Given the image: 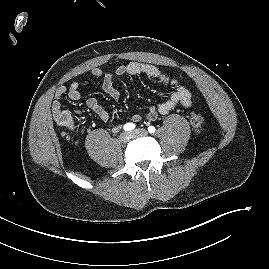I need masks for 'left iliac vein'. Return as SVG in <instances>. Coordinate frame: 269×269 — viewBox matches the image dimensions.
<instances>
[{"label": "left iliac vein", "mask_w": 269, "mask_h": 269, "mask_svg": "<svg viewBox=\"0 0 269 269\" xmlns=\"http://www.w3.org/2000/svg\"><path fill=\"white\" fill-rule=\"evenodd\" d=\"M130 134L132 137L137 138V137L147 136L148 132L145 129H136L132 131Z\"/></svg>", "instance_id": "obj_1"}]
</instances>
